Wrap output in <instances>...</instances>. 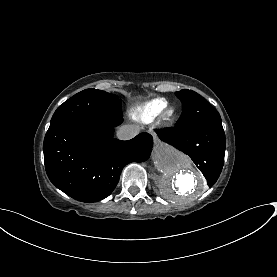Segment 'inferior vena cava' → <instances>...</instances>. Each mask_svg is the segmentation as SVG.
I'll list each match as a JSON object with an SVG mask.
<instances>
[{
  "mask_svg": "<svg viewBox=\"0 0 277 277\" xmlns=\"http://www.w3.org/2000/svg\"><path fill=\"white\" fill-rule=\"evenodd\" d=\"M140 132L138 125H123L117 130V138L119 140H130L137 136Z\"/></svg>",
  "mask_w": 277,
  "mask_h": 277,
  "instance_id": "602c4592",
  "label": "inferior vena cava"
}]
</instances>
